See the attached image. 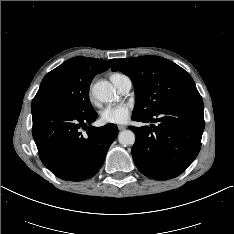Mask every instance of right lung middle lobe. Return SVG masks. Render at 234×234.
<instances>
[{
  "label": "right lung middle lobe",
  "mask_w": 234,
  "mask_h": 234,
  "mask_svg": "<svg viewBox=\"0 0 234 234\" xmlns=\"http://www.w3.org/2000/svg\"><path fill=\"white\" fill-rule=\"evenodd\" d=\"M92 79L81 75L65 61L43 78L31 108L55 106L75 113L92 111L89 100Z\"/></svg>",
  "instance_id": "right-lung-middle-lobe-1"
}]
</instances>
